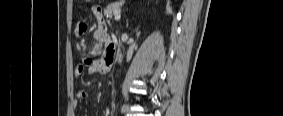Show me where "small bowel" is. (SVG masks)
<instances>
[{
	"instance_id": "obj_1",
	"label": "small bowel",
	"mask_w": 283,
	"mask_h": 116,
	"mask_svg": "<svg viewBox=\"0 0 283 116\" xmlns=\"http://www.w3.org/2000/svg\"><path fill=\"white\" fill-rule=\"evenodd\" d=\"M92 12L97 19V29L94 32L95 39L100 43L108 42V33L106 28V22L103 17L102 9L98 6L93 7ZM87 30V25L80 23L77 29L78 35H83ZM82 48V44L79 45ZM96 51L99 50L97 46ZM115 56V49L113 45H108L104 56L100 59L83 58L81 62L75 68V76L80 79L86 71L89 75L105 74L109 71L111 64L108 62L110 57ZM76 101L86 100L89 97V92L84 89H80L75 94Z\"/></svg>"
}]
</instances>
